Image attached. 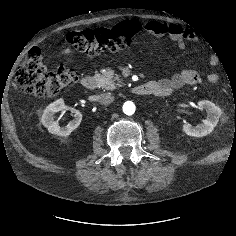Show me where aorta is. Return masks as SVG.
Returning <instances> with one entry per match:
<instances>
[{
  "label": "aorta",
  "mask_w": 236,
  "mask_h": 236,
  "mask_svg": "<svg viewBox=\"0 0 236 236\" xmlns=\"http://www.w3.org/2000/svg\"><path fill=\"white\" fill-rule=\"evenodd\" d=\"M122 109H123L124 114L130 116V115L134 114L136 106H135V104L132 101H126L123 104V108Z\"/></svg>",
  "instance_id": "1"
}]
</instances>
